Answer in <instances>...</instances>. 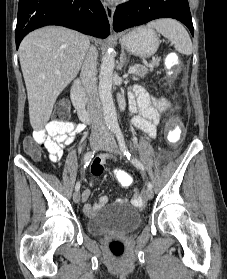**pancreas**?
<instances>
[{
    "label": "pancreas",
    "mask_w": 227,
    "mask_h": 279,
    "mask_svg": "<svg viewBox=\"0 0 227 279\" xmlns=\"http://www.w3.org/2000/svg\"><path fill=\"white\" fill-rule=\"evenodd\" d=\"M137 70L132 73L135 76L144 77L149 71L152 72L155 67L159 66V59L152 61L150 64L145 66L143 65H136Z\"/></svg>",
    "instance_id": "pancreas-1"
}]
</instances>
